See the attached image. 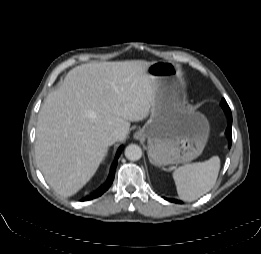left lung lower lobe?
<instances>
[{
    "label": "left lung lower lobe",
    "mask_w": 261,
    "mask_h": 254,
    "mask_svg": "<svg viewBox=\"0 0 261 254\" xmlns=\"http://www.w3.org/2000/svg\"><path fill=\"white\" fill-rule=\"evenodd\" d=\"M225 114L227 115V118L229 120V124L226 130V134L229 138V148L231 147V143H232V114L231 112H225ZM168 201L174 202V203H178L180 201L176 200V199H167Z\"/></svg>",
    "instance_id": "0a47b994"
}]
</instances>
